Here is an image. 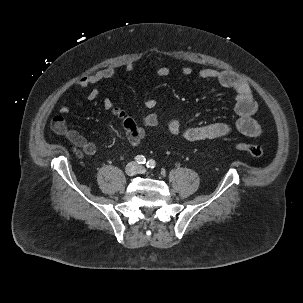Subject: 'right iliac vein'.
I'll return each mask as SVG.
<instances>
[{
	"label": "right iliac vein",
	"mask_w": 303,
	"mask_h": 303,
	"mask_svg": "<svg viewBox=\"0 0 303 303\" xmlns=\"http://www.w3.org/2000/svg\"><path fill=\"white\" fill-rule=\"evenodd\" d=\"M137 170H138V168H137L136 164L131 162L126 166L125 173L128 176H134L137 173Z\"/></svg>",
	"instance_id": "right-iliac-vein-1"
}]
</instances>
